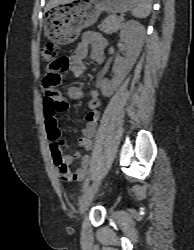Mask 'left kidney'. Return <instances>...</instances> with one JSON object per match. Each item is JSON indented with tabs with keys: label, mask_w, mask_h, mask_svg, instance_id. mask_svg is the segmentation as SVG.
Instances as JSON below:
<instances>
[{
	"label": "left kidney",
	"mask_w": 194,
	"mask_h": 250,
	"mask_svg": "<svg viewBox=\"0 0 194 250\" xmlns=\"http://www.w3.org/2000/svg\"><path fill=\"white\" fill-rule=\"evenodd\" d=\"M144 37L145 28L139 22L130 20L123 26L120 32V39L125 43L126 57L123 67L117 72V77L112 85L113 90L116 89L134 66L142 50Z\"/></svg>",
	"instance_id": "obj_1"
}]
</instances>
